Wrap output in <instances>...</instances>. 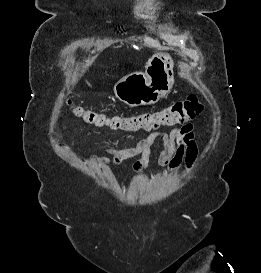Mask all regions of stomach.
Segmentation results:
<instances>
[{
  "label": "stomach",
  "instance_id": "stomach-1",
  "mask_svg": "<svg viewBox=\"0 0 261 273\" xmlns=\"http://www.w3.org/2000/svg\"><path fill=\"white\" fill-rule=\"evenodd\" d=\"M174 63L167 53H156L147 62L144 72H134L114 86L116 97L136 107L155 104L168 94L174 84Z\"/></svg>",
  "mask_w": 261,
  "mask_h": 273
}]
</instances>
